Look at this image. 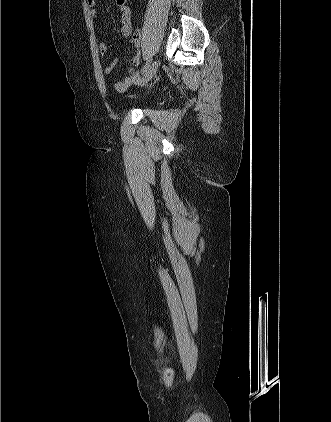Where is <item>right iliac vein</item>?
<instances>
[{"instance_id": "obj_1", "label": "right iliac vein", "mask_w": 331, "mask_h": 422, "mask_svg": "<svg viewBox=\"0 0 331 422\" xmlns=\"http://www.w3.org/2000/svg\"><path fill=\"white\" fill-rule=\"evenodd\" d=\"M157 68H158V65L156 62H154L148 67V69L145 71V74L140 82V86L146 85L152 79V77L155 75L157 71Z\"/></svg>"}]
</instances>
